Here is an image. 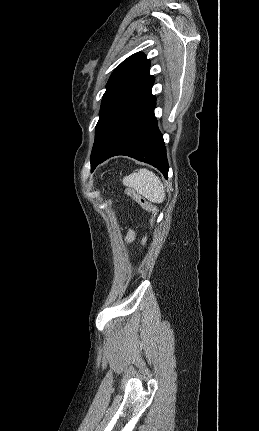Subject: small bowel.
<instances>
[{
	"label": "small bowel",
	"instance_id": "small-bowel-1",
	"mask_svg": "<svg viewBox=\"0 0 259 431\" xmlns=\"http://www.w3.org/2000/svg\"><path fill=\"white\" fill-rule=\"evenodd\" d=\"M135 239V233L131 230L128 231L127 236H126V240L128 242H132ZM142 242H144V239L142 240Z\"/></svg>",
	"mask_w": 259,
	"mask_h": 431
}]
</instances>
